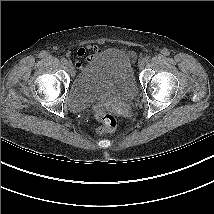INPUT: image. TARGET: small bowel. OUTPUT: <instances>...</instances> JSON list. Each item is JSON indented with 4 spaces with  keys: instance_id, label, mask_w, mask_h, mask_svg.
Instances as JSON below:
<instances>
[{
    "instance_id": "c3829d8e",
    "label": "small bowel",
    "mask_w": 214,
    "mask_h": 214,
    "mask_svg": "<svg viewBox=\"0 0 214 214\" xmlns=\"http://www.w3.org/2000/svg\"><path fill=\"white\" fill-rule=\"evenodd\" d=\"M101 52V49L95 44H88L84 47H80L76 52V67L80 70L83 69L84 58H86L87 61L92 62L101 54Z\"/></svg>"
}]
</instances>
